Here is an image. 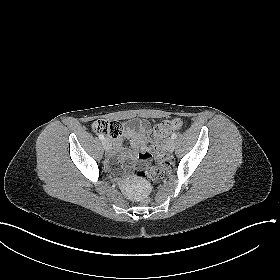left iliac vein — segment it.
Returning <instances> with one entry per match:
<instances>
[{
  "mask_svg": "<svg viewBox=\"0 0 280 280\" xmlns=\"http://www.w3.org/2000/svg\"><path fill=\"white\" fill-rule=\"evenodd\" d=\"M174 148H175V142L173 139H169L167 141V149L169 152H173L174 151Z\"/></svg>",
  "mask_w": 280,
  "mask_h": 280,
  "instance_id": "4c4485c4",
  "label": "left iliac vein"
}]
</instances>
